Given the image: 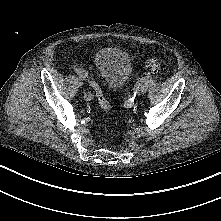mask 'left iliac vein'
<instances>
[{"mask_svg": "<svg viewBox=\"0 0 221 221\" xmlns=\"http://www.w3.org/2000/svg\"><path fill=\"white\" fill-rule=\"evenodd\" d=\"M147 89H148L147 84H142V85L140 86V88H139V92H140V93H146Z\"/></svg>", "mask_w": 221, "mask_h": 221, "instance_id": "left-iliac-vein-1", "label": "left iliac vein"}]
</instances>
